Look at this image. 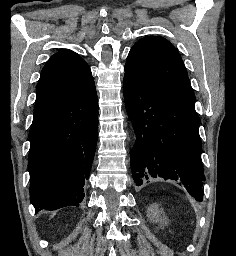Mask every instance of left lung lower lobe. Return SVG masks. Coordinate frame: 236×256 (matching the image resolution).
<instances>
[{
	"label": "left lung lower lobe",
	"instance_id": "0a47b994",
	"mask_svg": "<svg viewBox=\"0 0 236 256\" xmlns=\"http://www.w3.org/2000/svg\"><path fill=\"white\" fill-rule=\"evenodd\" d=\"M123 89L136 134L130 156L136 186L154 178L171 179L203 201L205 176L195 105L128 75H124Z\"/></svg>",
	"mask_w": 236,
	"mask_h": 256
}]
</instances>
